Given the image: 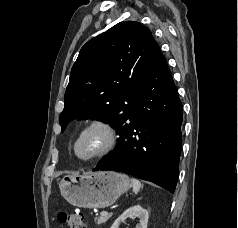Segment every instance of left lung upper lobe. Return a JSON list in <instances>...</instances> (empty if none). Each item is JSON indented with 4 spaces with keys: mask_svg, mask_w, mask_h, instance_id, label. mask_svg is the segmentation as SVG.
Returning <instances> with one entry per match:
<instances>
[{
    "mask_svg": "<svg viewBox=\"0 0 238 228\" xmlns=\"http://www.w3.org/2000/svg\"><path fill=\"white\" fill-rule=\"evenodd\" d=\"M159 51L151 31L135 21L120 22L87 42L71 70L61 132L75 118H97L118 134Z\"/></svg>",
    "mask_w": 238,
    "mask_h": 228,
    "instance_id": "obj_1",
    "label": "left lung upper lobe"
}]
</instances>
